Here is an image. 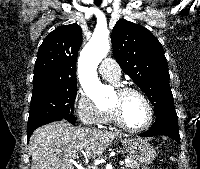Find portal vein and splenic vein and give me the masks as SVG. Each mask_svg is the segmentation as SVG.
Wrapping results in <instances>:
<instances>
[{"label": "portal vein and splenic vein", "mask_w": 200, "mask_h": 169, "mask_svg": "<svg viewBox=\"0 0 200 169\" xmlns=\"http://www.w3.org/2000/svg\"><path fill=\"white\" fill-rule=\"evenodd\" d=\"M72 162H73V160H72ZM125 162H128V161H125ZM120 165H124V162L121 161V162H120ZM120 169H121V168H120Z\"/></svg>", "instance_id": "1"}]
</instances>
